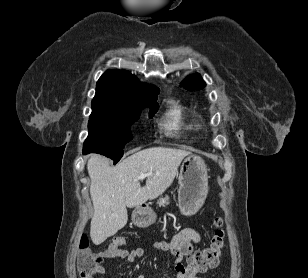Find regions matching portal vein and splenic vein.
Segmentation results:
<instances>
[{"label":"portal vein and splenic vein","instance_id":"portal-vein-and-splenic-vein-1","mask_svg":"<svg viewBox=\"0 0 308 278\" xmlns=\"http://www.w3.org/2000/svg\"><path fill=\"white\" fill-rule=\"evenodd\" d=\"M152 174V172H149V173H147V174H144V173H141L140 175H139V179H144V178H146L147 176H149V175H151Z\"/></svg>","mask_w":308,"mask_h":278}]
</instances>
